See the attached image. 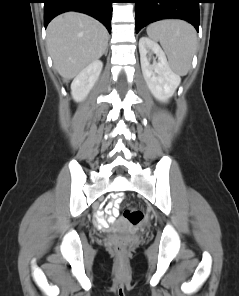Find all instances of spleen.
<instances>
[{"label":"spleen","instance_id":"1","mask_svg":"<svg viewBox=\"0 0 239 296\" xmlns=\"http://www.w3.org/2000/svg\"><path fill=\"white\" fill-rule=\"evenodd\" d=\"M148 36L159 41L167 54L171 69L178 75H186L197 49L194 27L180 20H163L147 27Z\"/></svg>","mask_w":239,"mask_h":296}]
</instances>
